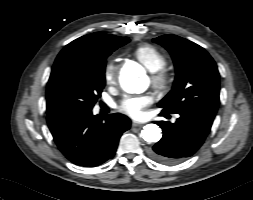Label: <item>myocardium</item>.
<instances>
[{
    "instance_id": "myocardium-1",
    "label": "myocardium",
    "mask_w": 253,
    "mask_h": 200,
    "mask_svg": "<svg viewBox=\"0 0 253 200\" xmlns=\"http://www.w3.org/2000/svg\"><path fill=\"white\" fill-rule=\"evenodd\" d=\"M151 82L157 91L165 92L171 85V75L163 68L152 73Z\"/></svg>"
}]
</instances>
